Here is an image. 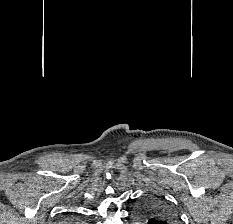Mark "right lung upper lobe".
<instances>
[{"mask_svg": "<svg viewBox=\"0 0 233 224\" xmlns=\"http://www.w3.org/2000/svg\"><path fill=\"white\" fill-rule=\"evenodd\" d=\"M66 222L71 223V224H76V223H79L80 220L77 218H69L66 220Z\"/></svg>", "mask_w": 233, "mask_h": 224, "instance_id": "right-lung-upper-lobe-1", "label": "right lung upper lobe"}]
</instances>
